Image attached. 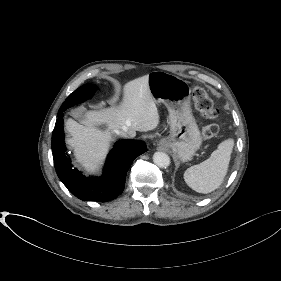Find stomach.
<instances>
[{
  "label": "stomach",
  "mask_w": 281,
  "mask_h": 281,
  "mask_svg": "<svg viewBox=\"0 0 281 281\" xmlns=\"http://www.w3.org/2000/svg\"><path fill=\"white\" fill-rule=\"evenodd\" d=\"M150 93L155 103H163L169 111L170 134L159 144L183 162L191 160L201 145V135L190 107L186 81L164 71L148 75Z\"/></svg>",
  "instance_id": "stomach-1"
}]
</instances>
